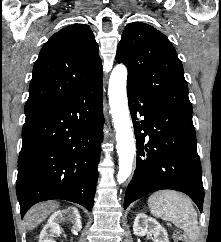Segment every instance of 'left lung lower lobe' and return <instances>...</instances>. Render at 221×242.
Returning a JSON list of instances; mask_svg holds the SVG:
<instances>
[{
  "mask_svg": "<svg viewBox=\"0 0 221 242\" xmlns=\"http://www.w3.org/2000/svg\"><path fill=\"white\" fill-rule=\"evenodd\" d=\"M127 95L137 162L124 209L154 191L172 189L187 194L202 211L204 189L192 114L162 105L128 82Z\"/></svg>",
  "mask_w": 221,
  "mask_h": 242,
  "instance_id": "left-lung-lower-lobe-1",
  "label": "left lung lower lobe"
}]
</instances>
